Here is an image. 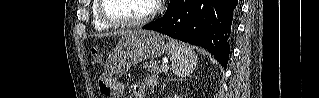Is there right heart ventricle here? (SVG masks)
Here are the masks:
<instances>
[{"mask_svg": "<svg viewBox=\"0 0 319 98\" xmlns=\"http://www.w3.org/2000/svg\"><path fill=\"white\" fill-rule=\"evenodd\" d=\"M99 0H95L93 1V5H92V8H91V11H92V25H93V28L97 31H103V30H107L110 28L109 25H107L106 23H104L100 16H99Z\"/></svg>", "mask_w": 319, "mask_h": 98, "instance_id": "right-heart-ventricle-1", "label": "right heart ventricle"}]
</instances>
